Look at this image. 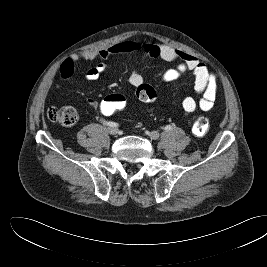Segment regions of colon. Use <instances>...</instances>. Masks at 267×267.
<instances>
[{"mask_svg": "<svg viewBox=\"0 0 267 267\" xmlns=\"http://www.w3.org/2000/svg\"><path fill=\"white\" fill-rule=\"evenodd\" d=\"M137 97L145 103L153 102L156 98L155 90L147 84H141L136 90ZM130 108L129 99L121 92H115L106 95L99 102L98 109L105 116H112L122 113ZM47 117L50 121L59 123L63 126H72L78 120L76 110L70 106H51L48 108ZM210 123L207 117H198L193 125L192 132L194 135L201 137L209 131Z\"/></svg>", "mask_w": 267, "mask_h": 267, "instance_id": "obj_1", "label": "colon"}]
</instances>
